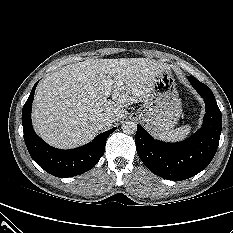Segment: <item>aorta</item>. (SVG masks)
I'll return each mask as SVG.
<instances>
[{
    "label": "aorta",
    "instance_id": "obj_1",
    "mask_svg": "<svg viewBox=\"0 0 233 233\" xmlns=\"http://www.w3.org/2000/svg\"><path fill=\"white\" fill-rule=\"evenodd\" d=\"M121 129L126 134H134L137 130V126L135 122L125 121L123 122Z\"/></svg>",
    "mask_w": 233,
    "mask_h": 233
}]
</instances>
